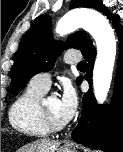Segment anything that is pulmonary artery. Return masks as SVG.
<instances>
[{"label": "pulmonary artery", "instance_id": "obj_1", "mask_svg": "<svg viewBox=\"0 0 123 152\" xmlns=\"http://www.w3.org/2000/svg\"><path fill=\"white\" fill-rule=\"evenodd\" d=\"M81 57L77 52H67L64 56V61L67 64H75L80 62ZM30 85L47 91L51 85V74L49 72H42L36 74L30 81Z\"/></svg>", "mask_w": 123, "mask_h": 152}]
</instances>
